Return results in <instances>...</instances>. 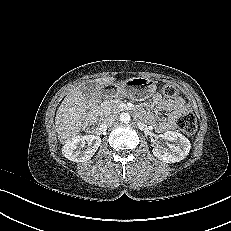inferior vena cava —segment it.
<instances>
[{
  "label": "inferior vena cava",
  "instance_id": "602c4592",
  "mask_svg": "<svg viewBox=\"0 0 231 231\" xmlns=\"http://www.w3.org/2000/svg\"><path fill=\"white\" fill-rule=\"evenodd\" d=\"M117 120V115L108 114L102 118V124L105 126H111Z\"/></svg>",
  "mask_w": 231,
  "mask_h": 231
}]
</instances>
